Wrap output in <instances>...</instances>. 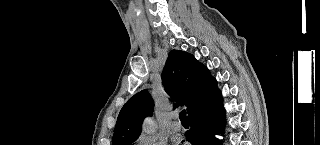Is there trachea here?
<instances>
[{
	"mask_svg": "<svg viewBox=\"0 0 320 145\" xmlns=\"http://www.w3.org/2000/svg\"><path fill=\"white\" fill-rule=\"evenodd\" d=\"M179 118H180L181 122H183V121H188L185 110H182V111L179 113Z\"/></svg>",
	"mask_w": 320,
	"mask_h": 145,
	"instance_id": "obj_1",
	"label": "trachea"
}]
</instances>
